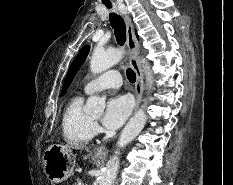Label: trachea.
<instances>
[{"label":"trachea","instance_id":"1","mask_svg":"<svg viewBox=\"0 0 233 185\" xmlns=\"http://www.w3.org/2000/svg\"><path fill=\"white\" fill-rule=\"evenodd\" d=\"M108 8H111L110 3H105ZM110 24L114 29L115 37L119 45H123L126 41V26L123 18L115 13L110 14ZM127 78L131 83L136 81V74L131 69L128 68L126 71Z\"/></svg>","mask_w":233,"mask_h":185}]
</instances>
